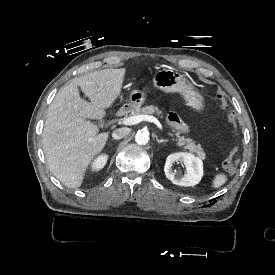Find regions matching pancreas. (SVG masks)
<instances>
[{"mask_svg":"<svg viewBox=\"0 0 275 275\" xmlns=\"http://www.w3.org/2000/svg\"><path fill=\"white\" fill-rule=\"evenodd\" d=\"M118 114L120 116L125 115L123 111L119 110ZM156 114L157 116H160L162 111L159 110L157 106H145L142 109H137L134 113V115H151ZM162 118H164V114L162 115ZM168 134L172 137V140L177 142V146L188 150L191 154H194L198 156L201 160L206 159V153L202 149L201 144H197L196 141H194L192 138L185 137L182 131L170 129Z\"/></svg>","mask_w":275,"mask_h":275,"instance_id":"1","label":"pancreas"}]
</instances>
